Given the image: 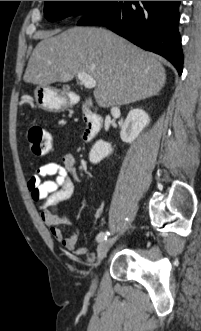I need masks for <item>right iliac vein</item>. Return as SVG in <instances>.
Returning a JSON list of instances; mask_svg holds the SVG:
<instances>
[{
	"label": "right iliac vein",
	"mask_w": 201,
	"mask_h": 331,
	"mask_svg": "<svg viewBox=\"0 0 201 331\" xmlns=\"http://www.w3.org/2000/svg\"><path fill=\"white\" fill-rule=\"evenodd\" d=\"M115 240H116L115 238H111V239H106L102 243H100V245L97 248V265H99L101 261L104 259L107 252L115 242ZM96 283H97V279L95 278L93 280V288L96 286Z\"/></svg>",
	"instance_id": "1"
}]
</instances>
